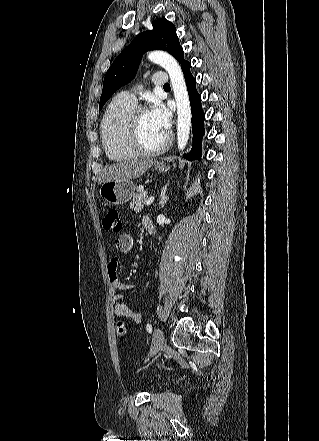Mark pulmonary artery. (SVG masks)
<instances>
[{
  "instance_id": "obj_1",
  "label": "pulmonary artery",
  "mask_w": 319,
  "mask_h": 441,
  "mask_svg": "<svg viewBox=\"0 0 319 441\" xmlns=\"http://www.w3.org/2000/svg\"><path fill=\"white\" fill-rule=\"evenodd\" d=\"M167 81H168V78H167L166 73H164V72L155 73L151 78L152 84L154 86H158V87H163L165 84H167ZM122 96H124L126 99H128L129 101H131L133 103L137 102L135 92L125 91L122 93Z\"/></svg>"
}]
</instances>
